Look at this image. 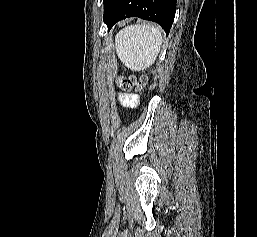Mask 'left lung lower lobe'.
Masks as SVG:
<instances>
[{"mask_svg": "<svg viewBox=\"0 0 257 237\" xmlns=\"http://www.w3.org/2000/svg\"><path fill=\"white\" fill-rule=\"evenodd\" d=\"M177 0H109L104 6V22L108 31L128 17H139L157 22L166 34L174 21Z\"/></svg>", "mask_w": 257, "mask_h": 237, "instance_id": "left-lung-lower-lobe-1", "label": "left lung lower lobe"}]
</instances>
